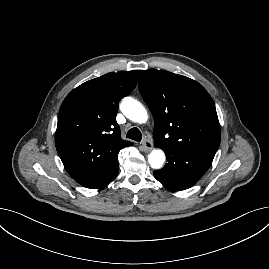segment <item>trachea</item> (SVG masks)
<instances>
[{
    "label": "trachea",
    "mask_w": 269,
    "mask_h": 269,
    "mask_svg": "<svg viewBox=\"0 0 269 269\" xmlns=\"http://www.w3.org/2000/svg\"><path fill=\"white\" fill-rule=\"evenodd\" d=\"M126 137L134 141L140 142L142 139V134L138 128L134 127L127 132Z\"/></svg>",
    "instance_id": "3493384b"
}]
</instances>
